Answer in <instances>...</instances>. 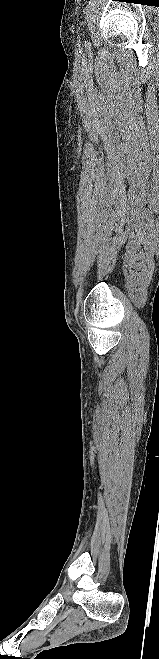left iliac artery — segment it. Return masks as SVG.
Returning a JSON list of instances; mask_svg holds the SVG:
<instances>
[{
    "instance_id": "left-iliac-artery-1",
    "label": "left iliac artery",
    "mask_w": 159,
    "mask_h": 659,
    "mask_svg": "<svg viewBox=\"0 0 159 659\" xmlns=\"http://www.w3.org/2000/svg\"><path fill=\"white\" fill-rule=\"evenodd\" d=\"M86 45H89V42L86 41Z\"/></svg>"
}]
</instances>
